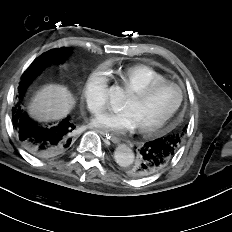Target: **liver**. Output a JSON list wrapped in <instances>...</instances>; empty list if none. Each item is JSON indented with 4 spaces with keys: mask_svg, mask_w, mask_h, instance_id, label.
Here are the masks:
<instances>
[{
    "mask_svg": "<svg viewBox=\"0 0 232 232\" xmlns=\"http://www.w3.org/2000/svg\"><path fill=\"white\" fill-rule=\"evenodd\" d=\"M74 103L66 87L50 84L37 92L29 106V113L39 121L58 120L70 112Z\"/></svg>",
    "mask_w": 232,
    "mask_h": 232,
    "instance_id": "obj_1",
    "label": "liver"
}]
</instances>
